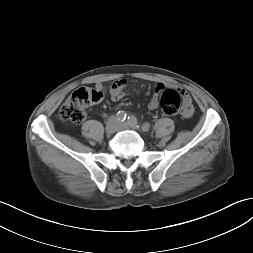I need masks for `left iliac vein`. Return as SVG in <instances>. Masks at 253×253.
I'll list each match as a JSON object with an SVG mask.
<instances>
[{
  "label": "left iliac vein",
  "instance_id": "1",
  "mask_svg": "<svg viewBox=\"0 0 253 253\" xmlns=\"http://www.w3.org/2000/svg\"><path fill=\"white\" fill-rule=\"evenodd\" d=\"M135 127L136 126H133L132 128L135 129ZM119 128L121 130L129 129V125L126 122H122V123H120Z\"/></svg>",
  "mask_w": 253,
  "mask_h": 253
}]
</instances>
